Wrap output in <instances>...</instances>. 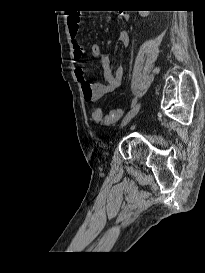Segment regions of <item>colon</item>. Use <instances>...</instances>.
I'll use <instances>...</instances> for the list:
<instances>
[{"label": "colon", "mask_w": 205, "mask_h": 273, "mask_svg": "<svg viewBox=\"0 0 205 273\" xmlns=\"http://www.w3.org/2000/svg\"><path fill=\"white\" fill-rule=\"evenodd\" d=\"M80 20V17L77 16ZM124 115V111L122 109H114L111 110L108 114L104 115L100 108H94L92 110V119L94 122L103 125H110L117 121H119Z\"/></svg>", "instance_id": "colon-1"}]
</instances>
